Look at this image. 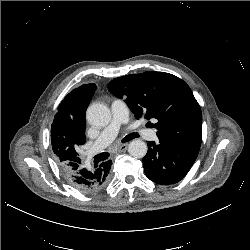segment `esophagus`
<instances>
[{
	"label": "esophagus",
	"instance_id": "obj_1",
	"mask_svg": "<svg viewBox=\"0 0 250 250\" xmlns=\"http://www.w3.org/2000/svg\"><path fill=\"white\" fill-rule=\"evenodd\" d=\"M127 147H128V144H127V143L120 144V145H118V147H117V151H118V152H124V151L127 149Z\"/></svg>",
	"mask_w": 250,
	"mask_h": 250
}]
</instances>
